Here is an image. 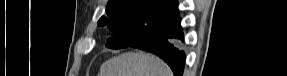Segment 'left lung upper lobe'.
Masks as SVG:
<instances>
[{
    "label": "left lung upper lobe",
    "instance_id": "obj_1",
    "mask_svg": "<svg viewBox=\"0 0 287 76\" xmlns=\"http://www.w3.org/2000/svg\"><path fill=\"white\" fill-rule=\"evenodd\" d=\"M177 0H110L107 16L99 25H108L115 34L107 47L129 46L177 14Z\"/></svg>",
    "mask_w": 287,
    "mask_h": 76
}]
</instances>
